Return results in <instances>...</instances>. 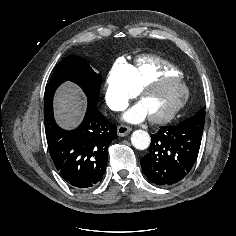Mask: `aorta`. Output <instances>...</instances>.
Masks as SVG:
<instances>
[{"label":"aorta","instance_id":"1","mask_svg":"<svg viewBox=\"0 0 236 236\" xmlns=\"http://www.w3.org/2000/svg\"><path fill=\"white\" fill-rule=\"evenodd\" d=\"M150 142V135L144 130H135L131 135V143L138 150L147 149Z\"/></svg>","mask_w":236,"mask_h":236}]
</instances>
